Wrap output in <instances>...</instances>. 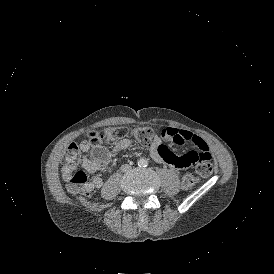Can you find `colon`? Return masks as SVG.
<instances>
[{
  "mask_svg": "<svg viewBox=\"0 0 274 274\" xmlns=\"http://www.w3.org/2000/svg\"><path fill=\"white\" fill-rule=\"evenodd\" d=\"M124 134V130L121 127L113 126L104 130L101 135V141L105 143H114L117 141L121 135ZM129 135L134 137L140 142L147 143L151 141L154 137V130L151 128H140L132 127L129 130ZM79 138V145L77 146H68V149L65 154L64 161L61 165L63 175L69 182V186L74 191H79L84 187H89L88 176L87 174L78 168L79 161V148L80 149H91L92 142H94L95 137L92 134L87 135L86 140H81ZM200 177L195 175L193 170L190 173H186L182 177V184L187 189H192L199 181Z\"/></svg>",
  "mask_w": 274,
  "mask_h": 274,
  "instance_id": "5ec220e1",
  "label": "colon"
}]
</instances>
